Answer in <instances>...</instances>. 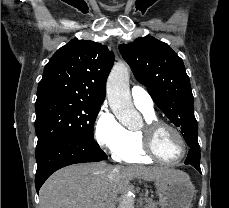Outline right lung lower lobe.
I'll list each match as a JSON object with an SVG mask.
<instances>
[{
    "label": "right lung lower lobe",
    "instance_id": "1",
    "mask_svg": "<svg viewBox=\"0 0 229 208\" xmlns=\"http://www.w3.org/2000/svg\"><path fill=\"white\" fill-rule=\"evenodd\" d=\"M106 158L98 144L78 137L62 136L51 140L36 150V191L38 193L45 180L60 168L76 163L98 162Z\"/></svg>",
    "mask_w": 229,
    "mask_h": 208
}]
</instances>
